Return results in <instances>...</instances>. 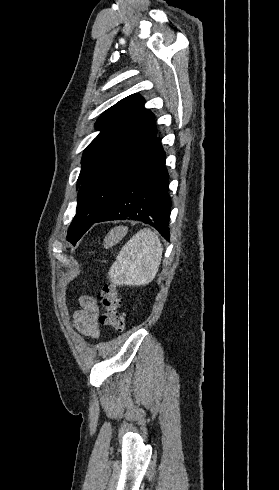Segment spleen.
Segmentation results:
<instances>
[{
  "label": "spleen",
  "instance_id": "obj_1",
  "mask_svg": "<svg viewBox=\"0 0 279 490\" xmlns=\"http://www.w3.org/2000/svg\"><path fill=\"white\" fill-rule=\"evenodd\" d=\"M127 234V228L118 226L110 230L104 240V248H112ZM163 254L162 244L150 228L137 232L119 252L109 270L115 286H147L154 280Z\"/></svg>",
  "mask_w": 279,
  "mask_h": 490
}]
</instances>
